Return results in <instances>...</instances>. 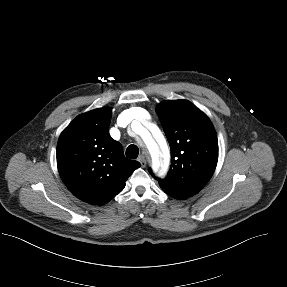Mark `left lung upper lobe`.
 I'll return each instance as SVG.
<instances>
[{
  "label": "left lung upper lobe",
  "mask_w": 287,
  "mask_h": 287,
  "mask_svg": "<svg viewBox=\"0 0 287 287\" xmlns=\"http://www.w3.org/2000/svg\"><path fill=\"white\" fill-rule=\"evenodd\" d=\"M156 111L170 145L172 163L165 179H155L170 196L186 199L198 193L215 171L216 131L209 118L188 100L165 101Z\"/></svg>",
  "instance_id": "left-lung-upper-lobe-1"
}]
</instances>
